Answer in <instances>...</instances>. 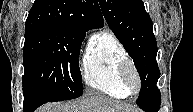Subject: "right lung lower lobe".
I'll use <instances>...</instances> for the list:
<instances>
[{
	"label": "right lung lower lobe",
	"instance_id": "1",
	"mask_svg": "<svg viewBox=\"0 0 193 112\" xmlns=\"http://www.w3.org/2000/svg\"><path fill=\"white\" fill-rule=\"evenodd\" d=\"M40 105H42L41 102H27V101H24L23 111L24 112H33Z\"/></svg>",
	"mask_w": 193,
	"mask_h": 112
}]
</instances>
